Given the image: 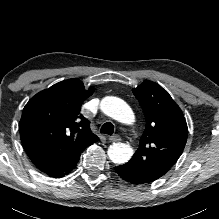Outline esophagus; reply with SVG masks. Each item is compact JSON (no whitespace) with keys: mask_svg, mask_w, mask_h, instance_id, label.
Masks as SVG:
<instances>
[{"mask_svg":"<svg viewBox=\"0 0 219 219\" xmlns=\"http://www.w3.org/2000/svg\"><path fill=\"white\" fill-rule=\"evenodd\" d=\"M110 142H119L121 141V137L119 135H113L109 137Z\"/></svg>","mask_w":219,"mask_h":219,"instance_id":"obj_1","label":"esophagus"}]
</instances>
